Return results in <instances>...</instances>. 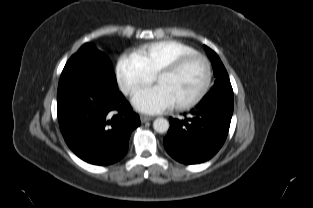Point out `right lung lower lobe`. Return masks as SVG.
Listing matches in <instances>:
<instances>
[{
    "mask_svg": "<svg viewBox=\"0 0 313 208\" xmlns=\"http://www.w3.org/2000/svg\"><path fill=\"white\" fill-rule=\"evenodd\" d=\"M58 120L69 148L94 165L119 161L139 116L118 91L111 68L89 55L64 67L57 93Z\"/></svg>",
    "mask_w": 313,
    "mask_h": 208,
    "instance_id": "1",
    "label": "right lung lower lobe"
}]
</instances>
